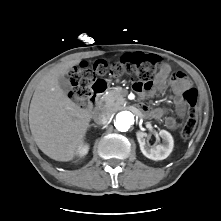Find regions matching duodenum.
<instances>
[{
	"label": "duodenum",
	"instance_id": "obj_1",
	"mask_svg": "<svg viewBox=\"0 0 221 221\" xmlns=\"http://www.w3.org/2000/svg\"><path fill=\"white\" fill-rule=\"evenodd\" d=\"M107 90V83L104 80H96L90 86V96L89 100L92 104L98 102L99 98L105 93Z\"/></svg>",
	"mask_w": 221,
	"mask_h": 221
}]
</instances>
